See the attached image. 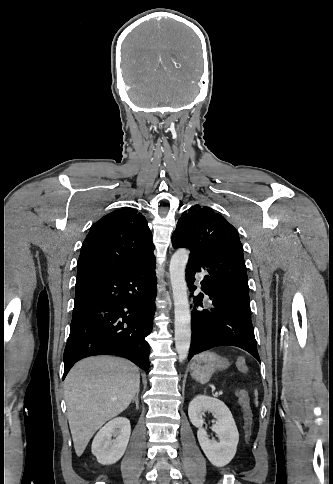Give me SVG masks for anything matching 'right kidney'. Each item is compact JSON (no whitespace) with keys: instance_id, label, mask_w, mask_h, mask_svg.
<instances>
[{"instance_id":"right-kidney-1","label":"right kidney","mask_w":333,"mask_h":484,"mask_svg":"<svg viewBox=\"0 0 333 484\" xmlns=\"http://www.w3.org/2000/svg\"><path fill=\"white\" fill-rule=\"evenodd\" d=\"M130 434V421L124 417L115 418L100 429L91 447L98 463L111 465L120 460L127 448Z\"/></svg>"}]
</instances>
